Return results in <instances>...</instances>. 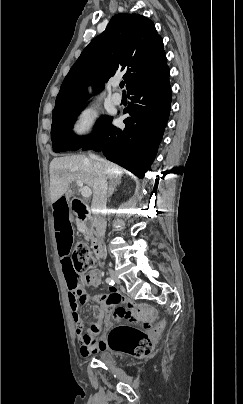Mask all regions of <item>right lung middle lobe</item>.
<instances>
[{"label":"right lung middle lobe","mask_w":243,"mask_h":404,"mask_svg":"<svg viewBox=\"0 0 243 404\" xmlns=\"http://www.w3.org/2000/svg\"><path fill=\"white\" fill-rule=\"evenodd\" d=\"M85 107V104L61 111L53 115V122L51 127L52 147L55 152H63L69 150H78L86 143L93 140L98 136L102 130L111 122L112 117L103 116L97 122L95 130L92 135L87 137H78L72 132V125Z\"/></svg>","instance_id":"obj_1"}]
</instances>
